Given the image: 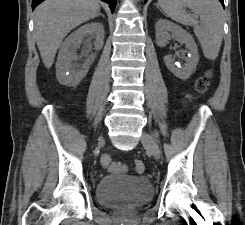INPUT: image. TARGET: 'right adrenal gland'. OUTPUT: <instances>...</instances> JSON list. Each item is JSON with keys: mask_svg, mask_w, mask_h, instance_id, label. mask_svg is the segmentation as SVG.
I'll use <instances>...</instances> for the list:
<instances>
[{"mask_svg": "<svg viewBox=\"0 0 245 225\" xmlns=\"http://www.w3.org/2000/svg\"><path fill=\"white\" fill-rule=\"evenodd\" d=\"M98 16H102L103 18L105 17L103 14L99 13Z\"/></svg>", "mask_w": 245, "mask_h": 225, "instance_id": "obj_1", "label": "right adrenal gland"}]
</instances>
